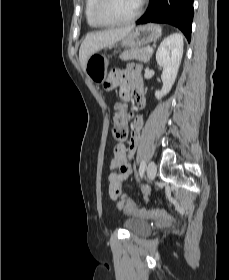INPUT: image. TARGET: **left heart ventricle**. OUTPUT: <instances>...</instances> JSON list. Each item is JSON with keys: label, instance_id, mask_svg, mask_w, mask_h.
I'll return each mask as SVG.
<instances>
[{"label": "left heart ventricle", "instance_id": "left-heart-ventricle-1", "mask_svg": "<svg viewBox=\"0 0 229 280\" xmlns=\"http://www.w3.org/2000/svg\"><path fill=\"white\" fill-rule=\"evenodd\" d=\"M139 3L138 0H107L103 14L108 19H125L137 10Z\"/></svg>", "mask_w": 229, "mask_h": 280}]
</instances>
